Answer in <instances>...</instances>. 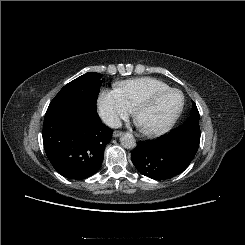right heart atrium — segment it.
Listing matches in <instances>:
<instances>
[{"label":"right heart atrium","instance_id":"d8ad5b80","mask_svg":"<svg viewBox=\"0 0 245 245\" xmlns=\"http://www.w3.org/2000/svg\"><path fill=\"white\" fill-rule=\"evenodd\" d=\"M102 119L110 126H117L128 118L131 108L123 101L115 89H103L97 101Z\"/></svg>","mask_w":245,"mask_h":245}]
</instances>
